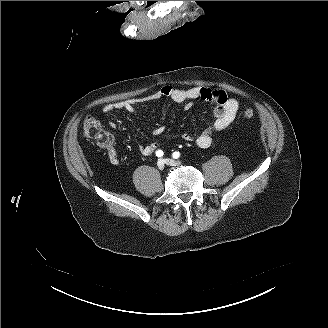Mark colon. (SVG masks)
Listing matches in <instances>:
<instances>
[{
	"label": "colon",
	"instance_id": "5ec220e1",
	"mask_svg": "<svg viewBox=\"0 0 328 328\" xmlns=\"http://www.w3.org/2000/svg\"><path fill=\"white\" fill-rule=\"evenodd\" d=\"M254 116V111L247 108L244 111V117L250 119ZM84 135L86 138L94 140L101 148H107L112 143V137L105 133L98 120L93 117H87L83 124Z\"/></svg>",
	"mask_w": 328,
	"mask_h": 328
}]
</instances>
